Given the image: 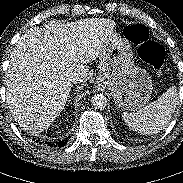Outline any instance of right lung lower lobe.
Returning a JSON list of instances; mask_svg holds the SVG:
<instances>
[{
    "instance_id": "obj_1",
    "label": "right lung lower lobe",
    "mask_w": 183,
    "mask_h": 183,
    "mask_svg": "<svg viewBox=\"0 0 183 183\" xmlns=\"http://www.w3.org/2000/svg\"><path fill=\"white\" fill-rule=\"evenodd\" d=\"M36 142H38V140H36ZM67 142H68V140H62V141H59L56 143L46 142V144L51 147H63Z\"/></svg>"
}]
</instances>
